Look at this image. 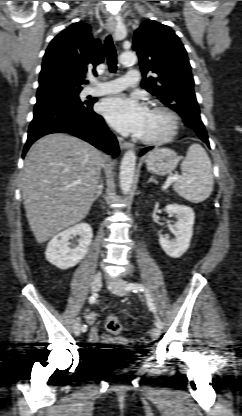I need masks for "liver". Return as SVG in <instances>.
I'll return each mask as SVG.
<instances>
[{
	"label": "liver",
	"mask_w": 242,
	"mask_h": 416,
	"mask_svg": "<svg viewBox=\"0 0 242 416\" xmlns=\"http://www.w3.org/2000/svg\"><path fill=\"white\" fill-rule=\"evenodd\" d=\"M104 154L68 134L37 140L23 167L26 216L38 243L80 222L95 196Z\"/></svg>",
	"instance_id": "1"
}]
</instances>
